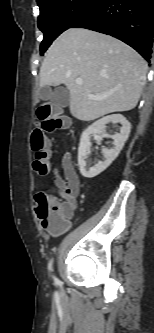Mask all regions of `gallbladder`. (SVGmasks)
Wrapping results in <instances>:
<instances>
[{
    "mask_svg": "<svg viewBox=\"0 0 154 333\" xmlns=\"http://www.w3.org/2000/svg\"><path fill=\"white\" fill-rule=\"evenodd\" d=\"M39 98L41 100L50 99L55 107H66L70 100L69 90L65 87H56L53 90L49 86H43L39 89Z\"/></svg>",
    "mask_w": 154,
    "mask_h": 333,
    "instance_id": "bac80fb5",
    "label": "gallbladder"
}]
</instances>
